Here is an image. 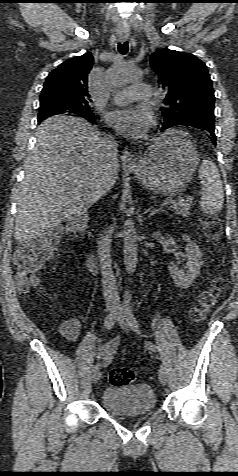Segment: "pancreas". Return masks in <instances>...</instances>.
Returning a JSON list of instances; mask_svg holds the SVG:
<instances>
[{"label": "pancreas", "mask_w": 238, "mask_h": 476, "mask_svg": "<svg viewBox=\"0 0 238 476\" xmlns=\"http://www.w3.org/2000/svg\"><path fill=\"white\" fill-rule=\"evenodd\" d=\"M194 198L191 196H186L184 198H179L178 201H174L168 209L172 210L177 215L188 216L190 215V209L193 205Z\"/></svg>", "instance_id": "1"}]
</instances>
